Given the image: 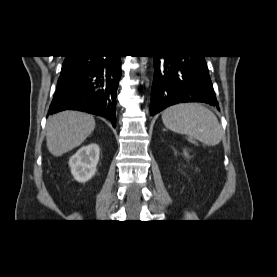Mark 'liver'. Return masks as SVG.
Masks as SVG:
<instances>
[{"mask_svg":"<svg viewBox=\"0 0 277 277\" xmlns=\"http://www.w3.org/2000/svg\"><path fill=\"white\" fill-rule=\"evenodd\" d=\"M94 129L92 115L77 111L57 113L47 122V148L53 156H61L80 146Z\"/></svg>","mask_w":277,"mask_h":277,"instance_id":"1","label":"liver"}]
</instances>
